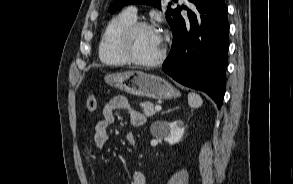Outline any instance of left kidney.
Listing matches in <instances>:
<instances>
[{
	"instance_id": "left-kidney-1",
	"label": "left kidney",
	"mask_w": 293,
	"mask_h": 184,
	"mask_svg": "<svg viewBox=\"0 0 293 184\" xmlns=\"http://www.w3.org/2000/svg\"><path fill=\"white\" fill-rule=\"evenodd\" d=\"M184 131L185 128L183 127L182 121L166 123L162 133V137L170 145H174L181 140Z\"/></svg>"
}]
</instances>
